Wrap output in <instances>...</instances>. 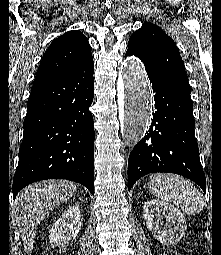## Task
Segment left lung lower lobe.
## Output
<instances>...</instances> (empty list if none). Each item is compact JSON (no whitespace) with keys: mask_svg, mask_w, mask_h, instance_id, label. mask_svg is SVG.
I'll return each mask as SVG.
<instances>
[{"mask_svg":"<svg viewBox=\"0 0 221 255\" xmlns=\"http://www.w3.org/2000/svg\"><path fill=\"white\" fill-rule=\"evenodd\" d=\"M146 71L155 93L156 111L149 132L130 153L128 190L146 174L169 172L193 180L205 192L206 178L194 137L191 91Z\"/></svg>","mask_w":221,"mask_h":255,"instance_id":"0a47b994","label":"left lung lower lobe"}]
</instances>
